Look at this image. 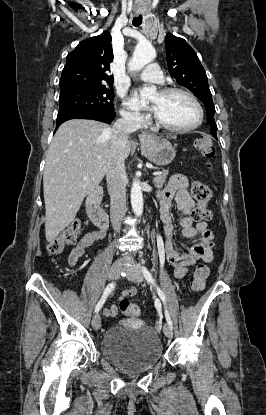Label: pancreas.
Here are the masks:
<instances>
[{"instance_id":"cf45deb5","label":"pancreas","mask_w":266,"mask_h":415,"mask_svg":"<svg viewBox=\"0 0 266 415\" xmlns=\"http://www.w3.org/2000/svg\"><path fill=\"white\" fill-rule=\"evenodd\" d=\"M167 174L165 172H161V174L156 175L153 179V184L156 188H162V186L166 182Z\"/></svg>"}]
</instances>
